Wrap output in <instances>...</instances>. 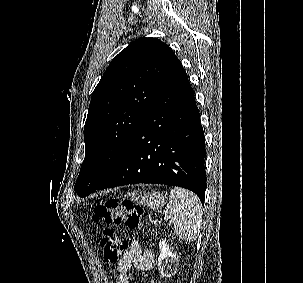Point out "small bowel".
<instances>
[{
  "label": "small bowel",
  "mask_w": 303,
  "mask_h": 283,
  "mask_svg": "<svg viewBox=\"0 0 303 283\" xmlns=\"http://www.w3.org/2000/svg\"><path fill=\"white\" fill-rule=\"evenodd\" d=\"M153 255L144 249L138 242L133 241L129 252L124 254L118 264L119 276L116 283H130L131 275L128 271L133 267L145 270L151 267Z\"/></svg>",
  "instance_id": "c3829d8e"
}]
</instances>
